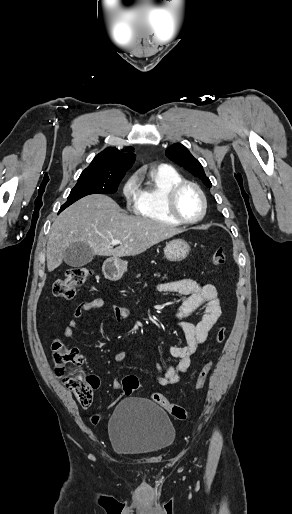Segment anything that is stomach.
<instances>
[{
    "label": "stomach",
    "mask_w": 292,
    "mask_h": 514,
    "mask_svg": "<svg viewBox=\"0 0 292 514\" xmlns=\"http://www.w3.org/2000/svg\"><path fill=\"white\" fill-rule=\"evenodd\" d=\"M190 252V246L185 240H171L164 248V256L169 262H181ZM127 266L120 258H108L102 266V272L106 280L117 282L121 280Z\"/></svg>",
    "instance_id": "obj_1"
}]
</instances>
